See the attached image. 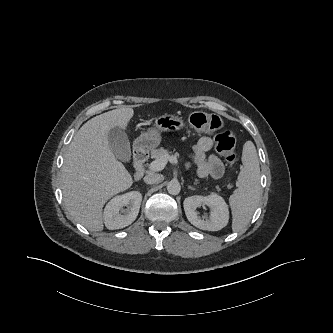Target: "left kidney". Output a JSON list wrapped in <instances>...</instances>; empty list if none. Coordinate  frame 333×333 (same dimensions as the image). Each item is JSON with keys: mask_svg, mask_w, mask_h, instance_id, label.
<instances>
[{"mask_svg": "<svg viewBox=\"0 0 333 333\" xmlns=\"http://www.w3.org/2000/svg\"><path fill=\"white\" fill-rule=\"evenodd\" d=\"M183 204L187 219L192 225L199 229L218 231L228 224V205L225 200L217 194H211L208 196H190L185 198ZM201 205H207L211 208L209 219L201 218L197 214L196 208Z\"/></svg>", "mask_w": 333, "mask_h": 333, "instance_id": "left-kidney-1", "label": "left kidney"}]
</instances>
